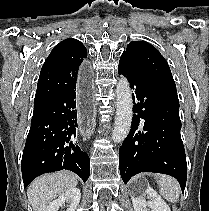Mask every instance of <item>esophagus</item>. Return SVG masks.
<instances>
[{"label": "esophagus", "instance_id": "34e87169", "mask_svg": "<svg viewBox=\"0 0 209 211\" xmlns=\"http://www.w3.org/2000/svg\"><path fill=\"white\" fill-rule=\"evenodd\" d=\"M94 68L92 64H81L79 74L76 78L79 79L78 93H76V109L78 112V130L80 133H93L95 130V121L98 120L96 116V109L94 93V77L92 72Z\"/></svg>", "mask_w": 209, "mask_h": 211}]
</instances>
